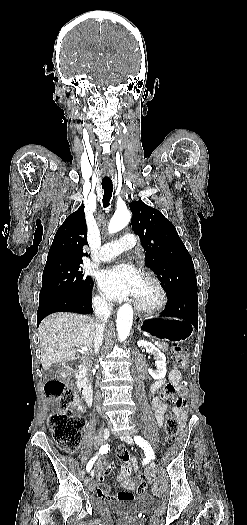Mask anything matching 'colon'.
Segmentation results:
<instances>
[{"instance_id": "5ec220e1", "label": "colon", "mask_w": 247, "mask_h": 525, "mask_svg": "<svg viewBox=\"0 0 247 525\" xmlns=\"http://www.w3.org/2000/svg\"><path fill=\"white\" fill-rule=\"evenodd\" d=\"M172 360L180 368H184L188 355L180 346L172 349ZM47 397L54 399L67 411H55L49 418V427L53 438L58 446L65 452L72 454L76 452L81 443L82 431L85 427V419L80 415L81 399L75 389L67 386L60 379H50L45 384ZM175 409H181L186 405L184 396L173 398ZM178 432V420L173 413H169L165 421V435L168 442L175 439ZM137 481V493L143 495L146 490V482L139 475Z\"/></svg>"}]
</instances>
